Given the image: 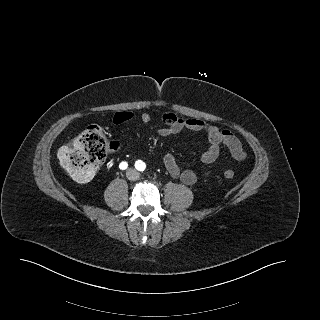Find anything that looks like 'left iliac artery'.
I'll return each mask as SVG.
<instances>
[{"instance_id":"1","label":"left iliac artery","mask_w":320,"mask_h":320,"mask_svg":"<svg viewBox=\"0 0 320 320\" xmlns=\"http://www.w3.org/2000/svg\"><path fill=\"white\" fill-rule=\"evenodd\" d=\"M135 167H136V169L139 170V171H144L145 168H146V165H145V163H144L143 161L138 160V161H136V163H135Z\"/></svg>"}]
</instances>
